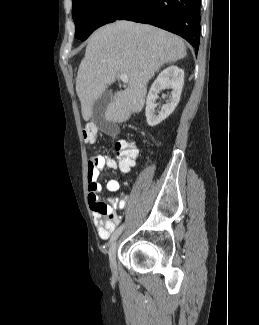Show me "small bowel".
Segmentation results:
<instances>
[{
    "label": "small bowel",
    "mask_w": 259,
    "mask_h": 325,
    "mask_svg": "<svg viewBox=\"0 0 259 325\" xmlns=\"http://www.w3.org/2000/svg\"><path fill=\"white\" fill-rule=\"evenodd\" d=\"M135 149L136 154L130 158L120 157L118 160H115L109 156L97 154L88 161V202L93 210L98 235L102 240H107L119 224L120 216L116 213V210L125 207L127 196L121 194L118 197L109 198L107 202L100 201L98 193L101 191V185L98 182V177L105 168L119 169L123 173L129 172L135 165V160L138 156L136 146ZM106 187L108 191L116 192L120 188V182L118 179H110Z\"/></svg>",
    "instance_id": "obj_1"
}]
</instances>
